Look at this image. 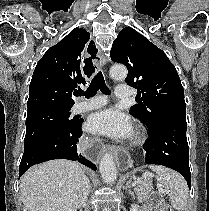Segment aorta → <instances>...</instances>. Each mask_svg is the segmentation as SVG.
Wrapping results in <instances>:
<instances>
[{
    "mask_svg": "<svg viewBox=\"0 0 209 211\" xmlns=\"http://www.w3.org/2000/svg\"><path fill=\"white\" fill-rule=\"evenodd\" d=\"M127 68L124 65H114L110 69V76L114 80H124L127 76ZM100 174L107 184H112L117 179V168L113 160V156L106 153L100 161Z\"/></svg>",
    "mask_w": 209,
    "mask_h": 211,
    "instance_id": "aorta-1",
    "label": "aorta"
}]
</instances>
